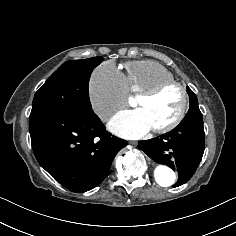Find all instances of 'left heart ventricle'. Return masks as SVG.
I'll return each mask as SVG.
<instances>
[{
	"label": "left heart ventricle",
	"mask_w": 236,
	"mask_h": 236,
	"mask_svg": "<svg viewBox=\"0 0 236 236\" xmlns=\"http://www.w3.org/2000/svg\"><path fill=\"white\" fill-rule=\"evenodd\" d=\"M131 102L144 112L151 129L172 121L180 111L182 98L176 88H170L151 100L131 97Z\"/></svg>",
	"instance_id": "obj_1"
}]
</instances>
